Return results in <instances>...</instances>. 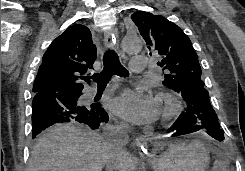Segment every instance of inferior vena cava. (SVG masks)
<instances>
[{
	"instance_id": "inferior-vena-cava-1",
	"label": "inferior vena cava",
	"mask_w": 245,
	"mask_h": 171,
	"mask_svg": "<svg viewBox=\"0 0 245 171\" xmlns=\"http://www.w3.org/2000/svg\"><path fill=\"white\" fill-rule=\"evenodd\" d=\"M128 130L129 127L126 124L119 126L107 125L104 128V133L108 138L107 146L112 150L115 158H125L127 155L124 146L128 143ZM113 167V164L106 162L107 171H112Z\"/></svg>"
}]
</instances>
